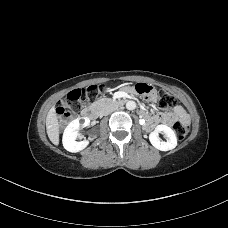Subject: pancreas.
Wrapping results in <instances>:
<instances>
[{
    "label": "pancreas",
    "mask_w": 228,
    "mask_h": 228,
    "mask_svg": "<svg viewBox=\"0 0 228 228\" xmlns=\"http://www.w3.org/2000/svg\"><path fill=\"white\" fill-rule=\"evenodd\" d=\"M110 101L109 99L107 98H102V99H99L98 101H96L93 105H98L100 106L101 108L105 106V104Z\"/></svg>",
    "instance_id": "pancreas-1"
}]
</instances>
